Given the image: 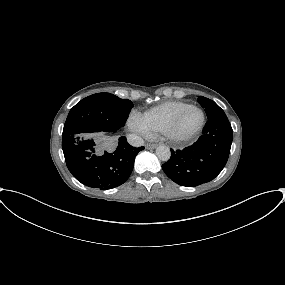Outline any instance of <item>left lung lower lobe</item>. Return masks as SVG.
<instances>
[{
	"label": "left lung lower lobe",
	"mask_w": 285,
	"mask_h": 285,
	"mask_svg": "<svg viewBox=\"0 0 285 285\" xmlns=\"http://www.w3.org/2000/svg\"><path fill=\"white\" fill-rule=\"evenodd\" d=\"M233 130L226 115L208 119L203 134L183 150L171 149L162 165L165 174L181 186L195 187L213 180L227 163Z\"/></svg>",
	"instance_id": "0a47b994"
}]
</instances>
